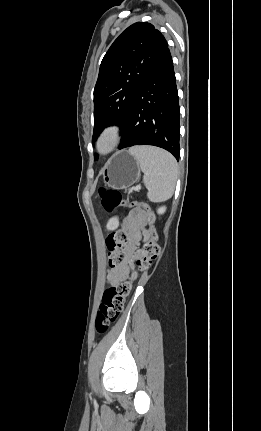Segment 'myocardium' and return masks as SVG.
Returning a JSON list of instances; mask_svg holds the SVG:
<instances>
[{
	"label": "myocardium",
	"mask_w": 261,
	"mask_h": 431,
	"mask_svg": "<svg viewBox=\"0 0 261 431\" xmlns=\"http://www.w3.org/2000/svg\"><path fill=\"white\" fill-rule=\"evenodd\" d=\"M121 138V130L117 125L105 127L97 137L95 148L98 154L108 155L118 146Z\"/></svg>",
	"instance_id": "1"
}]
</instances>
